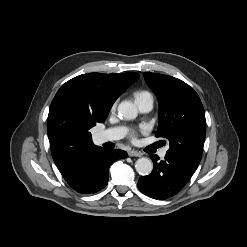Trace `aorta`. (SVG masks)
Listing matches in <instances>:
<instances>
[{
  "label": "aorta",
  "mask_w": 247,
  "mask_h": 247,
  "mask_svg": "<svg viewBox=\"0 0 247 247\" xmlns=\"http://www.w3.org/2000/svg\"><path fill=\"white\" fill-rule=\"evenodd\" d=\"M118 114L127 120L135 119L137 117V108L130 101H122L118 105ZM136 171L142 175H149L153 169V163L150 159L142 157L139 158L135 163Z\"/></svg>",
  "instance_id": "1"
}]
</instances>
